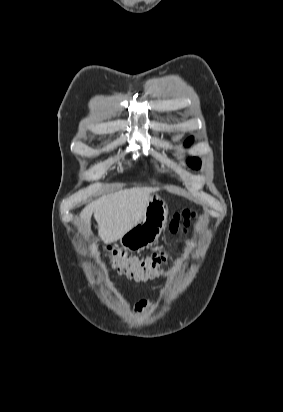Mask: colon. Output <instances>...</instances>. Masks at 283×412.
Here are the masks:
<instances>
[{"mask_svg":"<svg viewBox=\"0 0 283 412\" xmlns=\"http://www.w3.org/2000/svg\"><path fill=\"white\" fill-rule=\"evenodd\" d=\"M195 216L193 210L183 208L174 213L169 229L172 233L185 231L190 220ZM110 261L117 271L128 278L135 280H152L163 273V265L167 258L166 252L155 253L146 258L129 256L122 250L109 248Z\"/></svg>","mask_w":283,"mask_h":412,"instance_id":"obj_1","label":"colon"}]
</instances>
